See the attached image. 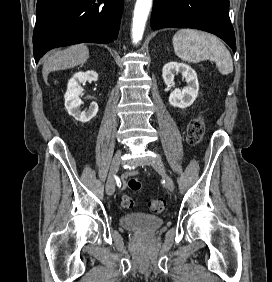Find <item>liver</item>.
Listing matches in <instances>:
<instances>
[{
	"label": "liver",
	"mask_w": 272,
	"mask_h": 282,
	"mask_svg": "<svg viewBox=\"0 0 272 282\" xmlns=\"http://www.w3.org/2000/svg\"><path fill=\"white\" fill-rule=\"evenodd\" d=\"M88 58L89 49L83 44L73 45L62 51H56L44 61L42 69L43 78L47 81L50 72L75 67L85 63Z\"/></svg>",
	"instance_id": "obj_1"
}]
</instances>
